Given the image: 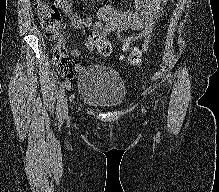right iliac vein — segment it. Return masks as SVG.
Instances as JSON below:
<instances>
[{
	"instance_id": "1",
	"label": "right iliac vein",
	"mask_w": 219,
	"mask_h": 192,
	"mask_svg": "<svg viewBox=\"0 0 219 192\" xmlns=\"http://www.w3.org/2000/svg\"><path fill=\"white\" fill-rule=\"evenodd\" d=\"M67 115H68V106L66 104H64L63 117H66Z\"/></svg>"
}]
</instances>
